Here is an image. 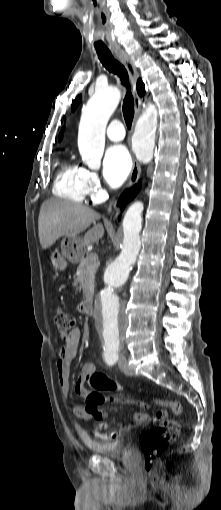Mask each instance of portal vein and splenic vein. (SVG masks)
<instances>
[{
  "label": "portal vein and splenic vein",
  "instance_id": "18ae733b",
  "mask_svg": "<svg viewBox=\"0 0 221 510\" xmlns=\"http://www.w3.org/2000/svg\"><path fill=\"white\" fill-rule=\"evenodd\" d=\"M92 259H93V260H98V255H97L96 253H94V254L92 255Z\"/></svg>",
  "mask_w": 221,
  "mask_h": 510
}]
</instances>
